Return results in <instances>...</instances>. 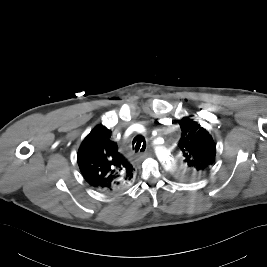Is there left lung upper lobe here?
Wrapping results in <instances>:
<instances>
[{
	"mask_svg": "<svg viewBox=\"0 0 267 267\" xmlns=\"http://www.w3.org/2000/svg\"><path fill=\"white\" fill-rule=\"evenodd\" d=\"M179 147L184 156L180 175L185 181H193L205 176L215 161L216 147L212 136L192 119L183 118Z\"/></svg>",
	"mask_w": 267,
	"mask_h": 267,
	"instance_id": "5c2ea615",
	"label": "left lung upper lobe"
}]
</instances>
